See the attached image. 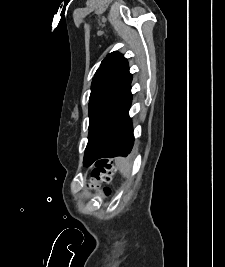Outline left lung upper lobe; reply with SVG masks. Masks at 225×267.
Listing matches in <instances>:
<instances>
[{"mask_svg":"<svg viewBox=\"0 0 225 267\" xmlns=\"http://www.w3.org/2000/svg\"><path fill=\"white\" fill-rule=\"evenodd\" d=\"M131 82L132 74L129 72L127 59L116 51L108 54L91 84L85 166H90L96 160Z\"/></svg>","mask_w":225,"mask_h":267,"instance_id":"obj_1","label":"left lung upper lobe"}]
</instances>
